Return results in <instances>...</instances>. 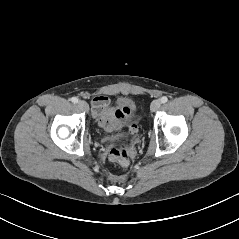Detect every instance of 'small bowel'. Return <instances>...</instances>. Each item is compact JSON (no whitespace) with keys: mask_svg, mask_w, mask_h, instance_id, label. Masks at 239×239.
I'll list each match as a JSON object with an SVG mask.
<instances>
[{"mask_svg":"<svg viewBox=\"0 0 239 239\" xmlns=\"http://www.w3.org/2000/svg\"><path fill=\"white\" fill-rule=\"evenodd\" d=\"M92 112L98 124L108 133L120 130L131 114V109L124 104L112 107L105 95H99L92 100Z\"/></svg>","mask_w":239,"mask_h":239,"instance_id":"c3829d8e","label":"small bowel"}]
</instances>
